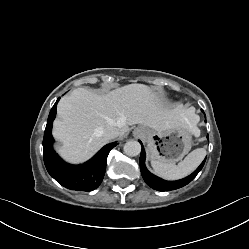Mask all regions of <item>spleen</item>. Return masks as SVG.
Segmentation results:
<instances>
[{
  "label": "spleen",
  "instance_id": "1",
  "mask_svg": "<svg viewBox=\"0 0 249 249\" xmlns=\"http://www.w3.org/2000/svg\"><path fill=\"white\" fill-rule=\"evenodd\" d=\"M206 153L205 148H198L190 152L184 160L180 161L177 165L152 160L151 166L158 176L167 180H177L192 173L203 161Z\"/></svg>",
  "mask_w": 249,
  "mask_h": 249
}]
</instances>
